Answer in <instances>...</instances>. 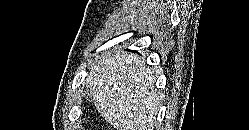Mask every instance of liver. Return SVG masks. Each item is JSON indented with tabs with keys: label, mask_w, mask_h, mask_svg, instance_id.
I'll list each match as a JSON object with an SVG mask.
<instances>
[{
	"label": "liver",
	"mask_w": 249,
	"mask_h": 130,
	"mask_svg": "<svg viewBox=\"0 0 249 130\" xmlns=\"http://www.w3.org/2000/svg\"><path fill=\"white\" fill-rule=\"evenodd\" d=\"M153 73L136 55L107 53L91 66L85 83L96 109L116 130H153L160 105Z\"/></svg>",
	"instance_id": "obj_1"
}]
</instances>
